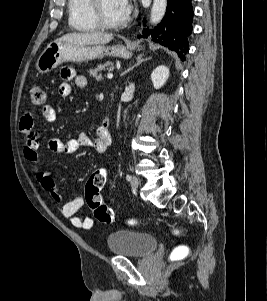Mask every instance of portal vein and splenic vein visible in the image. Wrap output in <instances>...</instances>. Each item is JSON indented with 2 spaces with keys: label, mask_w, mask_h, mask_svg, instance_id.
I'll return each mask as SVG.
<instances>
[{
  "label": "portal vein and splenic vein",
  "mask_w": 267,
  "mask_h": 301,
  "mask_svg": "<svg viewBox=\"0 0 267 301\" xmlns=\"http://www.w3.org/2000/svg\"><path fill=\"white\" fill-rule=\"evenodd\" d=\"M107 78H108V79H112V78H113V73H112V72H109V73L107 74Z\"/></svg>",
  "instance_id": "18ae733b"
}]
</instances>
